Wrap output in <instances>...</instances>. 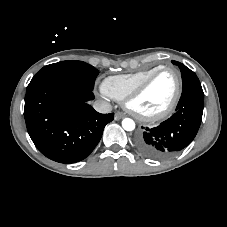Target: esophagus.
<instances>
[{
  "label": "esophagus",
  "instance_id": "34e87169",
  "mask_svg": "<svg viewBox=\"0 0 227 227\" xmlns=\"http://www.w3.org/2000/svg\"><path fill=\"white\" fill-rule=\"evenodd\" d=\"M124 117H125V114L122 113V112H117V113L115 114V120H120V119H122V118H124Z\"/></svg>",
  "mask_w": 227,
  "mask_h": 227
}]
</instances>
